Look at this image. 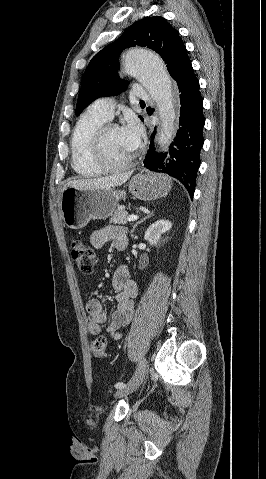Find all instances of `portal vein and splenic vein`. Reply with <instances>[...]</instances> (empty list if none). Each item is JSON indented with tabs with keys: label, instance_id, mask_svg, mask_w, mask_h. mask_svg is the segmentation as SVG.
Masks as SVG:
<instances>
[{
	"label": "portal vein and splenic vein",
	"instance_id": "portal-vein-and-splenic-vein-1",
	"mask_svg": "<svg viewBox=\"0 0 266 479\" xmlns=\"http://www.w3.org/2000/svg\"><path fill=\"white\" fill-rule=\"evenodd\" d=\"M138 218H139L138 215H130V216L127 217V220H128V221H135V220H137Z\"/></svg>",
	"mask_w": 266,
	"mask_h": 479
}]
</instances>
